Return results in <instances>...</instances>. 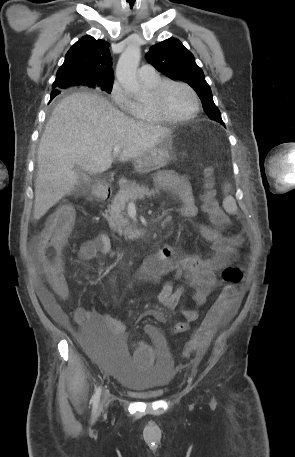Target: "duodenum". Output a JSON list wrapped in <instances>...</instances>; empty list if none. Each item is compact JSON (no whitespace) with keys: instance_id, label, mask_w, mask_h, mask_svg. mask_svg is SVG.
Listing matches in <instances>:
<instances>
[{"instance_id":"410a0bca","label":"duodenum","mask_w":295,"mask_h":457,"mask_svg":"<svg viewBox=\"0 0 295 457\" xmlns=\"http://www.w3.org/2000/svg\"><path fill=\"white\" fill-rule=\"evenodd\" d=\"M110 190L106 187H100L96 190V196L100 200H108L110 198Z\"/></svg>"}]
</instances>
